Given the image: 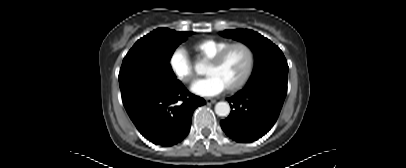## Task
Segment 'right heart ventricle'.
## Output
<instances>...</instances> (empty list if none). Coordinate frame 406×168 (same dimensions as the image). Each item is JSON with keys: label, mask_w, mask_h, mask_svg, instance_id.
<instances>
[{"label": "right heart ventricle", "mask_w": 406, "mask_h": 168, "mask_svg": "<svg viewBox=\"0 0 406 168\" xmlns=\"http://www.w3.org/2000/svg\"><path fill=\"white\" fill-rule=\"evenodd\" d=\"M228 44H230V42L228 40L207 38V39H203L198 42H195L192 45V49L198 55L199 58H201L202 60L208 61L218 51L223 49Z\"/></svg>", "instance_id": "e07e8e85"}]
</instances>
